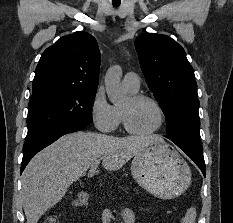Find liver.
I'll return each instance as SVG.
<instances>
[{
    "mask_svg": "<svg viewBox=\"0 0 233 223\" xmlns=\"http://www.w3.org/2000/svg\"><path fill=\"white\" fill-rule=\"evenodd\" d=\"M152 141L164 139L155 133L114 137L76 131L63 135L34 155L21 175V201L27 223H38L93 163L101 161L106 171H116Z\"/></svg>",
    "mask_w": 233,
    "mask_h": 223,
    "instance_id": "1",
    "label": "liver"
}]
</instances>
